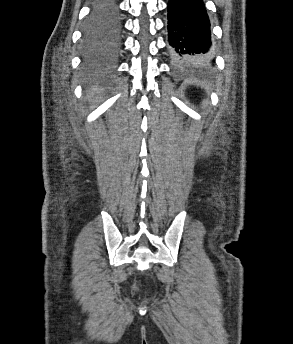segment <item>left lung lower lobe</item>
Masks as SVG:
<instances>
[{
    "instance_id": "1",
    "label": "left lung lower lobe",
    "mask_w": 293,
    "mask_h": 344,
    "mask_svg": "<svg viewBox=\"0 0 293 344\" xmlns=\"http://www.w3.org/2000/svg\"><path fill=\"white\" fill-rule=\"evenodd\" d=\"M168 41L176 62L211 58L210 21L203 0H169Z\"/></svg>"
}]
</instances>
